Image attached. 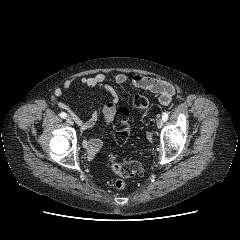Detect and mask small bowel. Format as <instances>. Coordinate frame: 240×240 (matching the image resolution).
Returning <instances> with one entry per match:
<instances>
[{"label":"small bowel","mask_w":240,"mask_h":240,"mask_svg":"<svg viewBox=\"0 0 240 240\" xmlns=\"http://www.w3.org/2000/svg\"><path fill=\"white\" fill-rule=\"evenodd\" d=\"M112 80L119 85L130 83L136 88L152 92L157 96L159 102L165 106L171 103L172 98L174 97L176 92L173 85L165 81L153 77L144 76L141 74H136L132 77H129L127 74L124 73H116L112 75ZM72 84H73L72 80H66L62 88H57L55 90V95L58 98L64 97L65 93L71 88ZM80 84L87 87H99L111 94L112 96L111 99L105 103L102 109V114L105 123L107 125L111 124L112 121L114 120L117 111L118 97L112 85H110L107 82L106 75L102 73H97L93 76L82 77L80 79ZM58 106L62 109L70 111L69 107L61 101L58 102ZM70 113L73 119L80 125L82 130H86L92 127L98 119V112L96 110H93L91 112L90 118L86 121L81 120L75 113L72 112ZM83 146L88 151L89 154L94 155L103 148L104 139L103 138L85 139L83 141Z\"/></svg>","instance_id":"obj_1"}]
</instances>
